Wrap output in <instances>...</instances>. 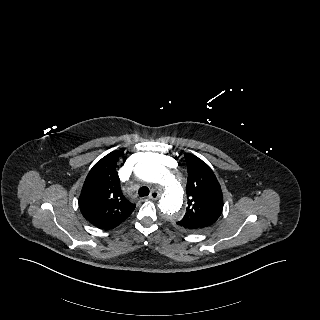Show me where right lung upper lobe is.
Wrapping results in <instances>:
<instances>
[{"label": "right lung upper lobe", "mask_w": 320, "mask_h": 320, "mask_svg": "<svg viewBox=\"0 0 320 320\" xmlns=\"http://www.w3.org/2000/svg\"><path fill=\"white\" fill-rule=\"evenodd\" d=\"M121 154L113 151L92 167L79 197L83 216L100 229L117 227L136 207L124 197L120 188L116 165Z\"/></svg>", "instance_id": "cb5924a9"}]
</instances>
